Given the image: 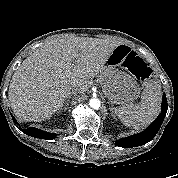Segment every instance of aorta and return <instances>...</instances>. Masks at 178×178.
I'll list each match as a JSON object with an SVG mask.
<instances>
[{"instance_id": "762f6f07", "label": "aorta", "mask_w": 178, "mask_h": 178, "mask_svg": "<svg viewBox=\"0 0 178 178\" xmlns=\"http://www.w3.org/2000/svg\"><path fill=\"white\" fill-rule=\"evenodd\" d=\"M89 105L93 109H98L100 107V100L98 98H92L90 99Z\"/></svg>"}]
</instances>
